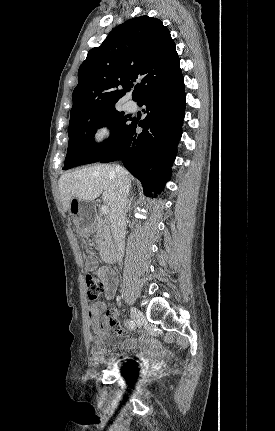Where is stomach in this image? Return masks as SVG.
Listing matches in <instances>:
<instances>
[{
  "instance_id": "0dacf381",
  "label": "stomach",
  "mask_w": 275,
  "mask_h": 431,
  "mask_svg": "<svg viewBox=\"0 0 275 431\" xmlns=\"http://www.w3.org/2000/svg\"><path fill=\"white\" fill-rule=\"evenodd\" d=\"M68 211L80 236L87 237L94 231L95 221L93 207L90 202L72 198Z\"/></svg>"
}]
</instances>
